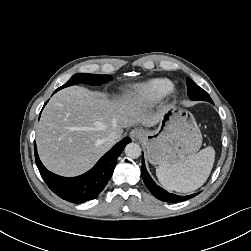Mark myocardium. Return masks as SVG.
I'll list each match as a JSON object with an SVG mask.
<instances>
[{
	"instance_id": "myocardium-1",
	"label": "myocardium",
	"mask_w": 251,
	"mask_h": 251,
	"mask_svg": "<svg viewBox=\"0 0 251 251\" xmlns=\"http://www.w3.org/2000/svg\"><path fill=\"white\" fill-rule=\"evenodd\" d=\"M170 93H174V89H172V90L170 91Z\"/></svg>"
}]
</instances>
